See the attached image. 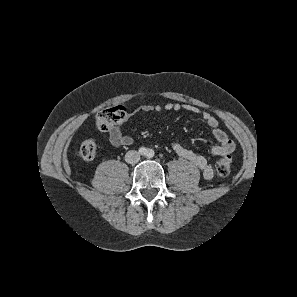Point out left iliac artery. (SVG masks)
<instances>
[{
    "label": "left iliac artery",
    "mask_w": 297,
    "mask_h": 297,
    "mask_svg": "<svg viewBox=\"0 0 297 297\" xmlns=\"http://www.w3.org/2000/svg\"><path fill=\"white\" fill-rule=\"evenodd\" d=\"M153 155H154V151L153 150H148L147 156L148 157H153Z\"/></svg>",
    "instance_id": "left-iliac-artery-1"
}]
</instances>
